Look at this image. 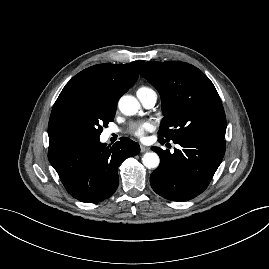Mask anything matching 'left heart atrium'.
<instances>
[{
	"mask_svg": "<svg viewBox=\"0 0 269 269\" xmlns=\"http://www.w3.org/2000/svg\"><path fill=\"white\" fill-rule=\"evenodd\" d=\"M154 128L155 124L152 121H142L132 125L131 133L138 138H144L146 133L152 131Z\"/></svg>",
	"mask_w": 269,
	"mask_h": 269,
	"instance_id": "left-heart-atrium-1",
	"label": "left heart atrium"
}]
</instances>
